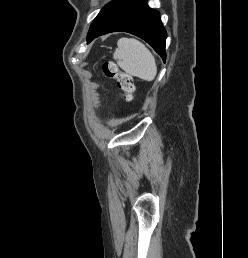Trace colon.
Segmentation results:
<instances>
[{
  "instance_id": "5ec220e1",
  "label": "colon",
  "mask_w": 248,
  "mask_h": 258,
  "mask_svg": "<svg viewBox=\"0 0 248 258\" xmlns=\"http://www.w3.org/2000/svg\"><path fill=\"white\" fill-rule=\"evenodd\" d=\"M102 71L106 77L116 80L117 87L126 101H131L134 96L135 87L131 74L121 71L116 63L106 61L102 65Z\"/></svg>"
}]
</instances>
